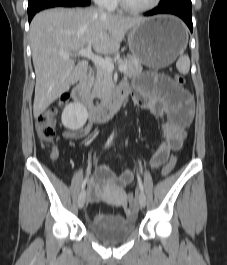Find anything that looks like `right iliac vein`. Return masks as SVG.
I'll list each match as a JSON object with an SVG mask.
<instances>
[{
  "instance_id": "1",
  "label": "right iliac vein",
  "mask_w": 227,
  "mask_h": 265,
  "mask_svg": "<svg viewBox=\"0 0 227 265\" xmlns=\"http://www.w3.org/2000/svg\"><path fill=\"white\" fill-rule=\"evenodd\" d=\"M85 200H86V192L83 190L78 197L79 208H83V206L85 204Z\"/></svg>"
}]
</instances>
